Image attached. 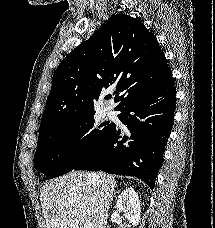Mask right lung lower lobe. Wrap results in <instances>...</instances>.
Listing matches in <instances>:
<instances>
[{
	"instance_id": "1",
	"label": "right lung lower lobe",
	"mask_w": 215,
	"mask_h": 228,
	"mask_svg": "<svg viewBox=\"0 0 215 228\" xmlns=\"http://www.w3.org/2000/svg\"><path fill=\"white\" fill-rule=\"evenodd\" d=\"M175 96L172 75L140 83L118 109L122 112L118 118L131 132L129 141L114 125L109 136L74 169L139 177L153 189L173 125Z\"/></svg>"
}]
</instances>
